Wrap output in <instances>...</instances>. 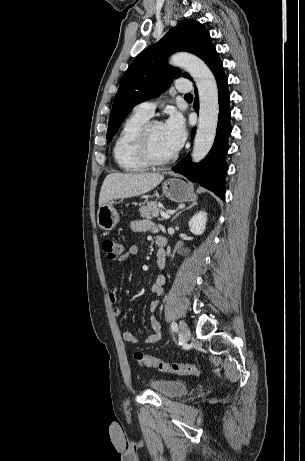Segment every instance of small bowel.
I'll return each mask as SVG.
<instances>
[{
  "label": "small bowel",
  "mask_w": 305,
  "mask_h": 461,
  "mask_svg": "<svg viewBox=\"0 0 305 461\" xmlns=\"http://www.w3.org/2000/svg\"><path fill=\"white\" fill-rule=\"evenodd\" d=\"M132 229L137 232H146L152 230L154 232L157 231L156 227H154L149 221L147 220H140L135 221L132 224ZM138 254V247L137 246H130L128 250L117 260L119 262H125L131 257H134ZM157 263L159 268L165 267V253L164 251L158 250L157 252ZM165 284V277L160 275L157 277L155 282L151 287V293L154 296H161L163 294V286ZM117 290L118 286L115 285L109 294V299L113 304V312L116 317H122L124 315V310L117 305ZM159 308V302L153 301L149 306V313H150V321L151 325L149 328V333L147 337L142 341L143 344H154L161 340V327L159 320L157 318V310ZM123 339L132 344H136L139 342L138 337L136 334L131 330H125L123 332Z\"/></svg>",
  "instance_id": "1"
}]
</instances>
